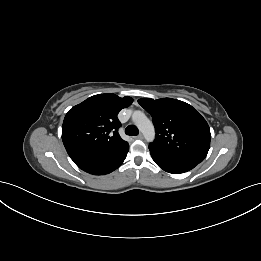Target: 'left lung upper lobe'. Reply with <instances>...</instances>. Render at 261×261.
<instances>
[{
  "label": "left lung upper lobe",
  "mask_w": 261,
  "mask_h": 261,
  "mask_svg": "<svg viewBox=\"0 0 261 261\" xmlns=\"http://www.w3.org/2000/svg\"><path fill=\"white\" fill-rule=\"evenodd\" d=\"M138 103L151 114L155 126L156 137L149 146L198 163L205 159L211 134L195 108L171 98H142Z\"/></svg>",
  "instance_id": "left-lung-upper-lobe-1"
}]
</instances>
